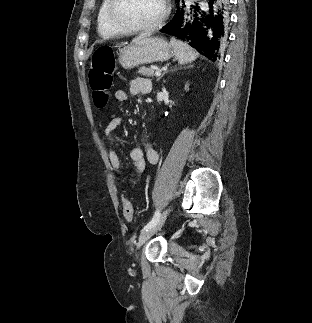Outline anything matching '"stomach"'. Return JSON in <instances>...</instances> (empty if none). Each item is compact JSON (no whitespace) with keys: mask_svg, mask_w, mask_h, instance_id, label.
Returning a JSON list of instances; mask_svg holds the SVG:
<instances>
[{"mask_svg":"<svg viewBox=\"0 0 312 323\" xmlns=\"http://www.w3.org/2000/svg\"><path fill=\"white\" fill-rule=\"evenodd\" d=\"M171 56V46L164 38L139 36V38H134L128 46L119 50L118 62L125 70H131L141 64L167 62Z\"/></svg>","mask_w":312,"mask_h":323,"instance_id":"1","label":"stomach"}]
</instances>
